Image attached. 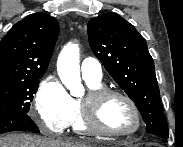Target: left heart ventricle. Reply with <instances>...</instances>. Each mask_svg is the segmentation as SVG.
<instances>
[{
  "instance_id": "b2bd125f",
  "label": "left heart ventricle",
  "mask_w": 183,
  "mask_h": 147,
  "mask_svg": "<svg viewBox=\"0 0 183 147\" xmlns=\"http://www.w3.org/2000/svg\"><path fill=\"white\" fill-rule=\"evenodd\" d=\"M104 126L119 132H130L136 127V118L129 104L120 97L104 100L99 109Z\"/></svg>"
}]
</instances>
